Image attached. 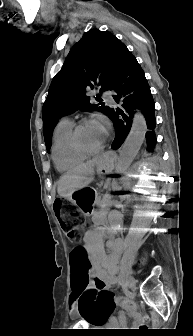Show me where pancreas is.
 I'll return each mask as SVG.
<instances>
[{
	"mask_svg": "<svg viewBox=\"0 0 193 336\" xmlns=\"http://www.w3.org/2000/svg\"><path fill=\"white\" fill-rule=\"evenodd\" d=\"M111 197L112 194L108 191L106 192V195H100L99 202L95 205V210L100 212L110 211L112 209Z\"/></svg>",
	"mask_w": 193,
	"mask_h": 336,
	"instance_id": "cf45deb5",
	"label": "pancreas"
}]
</instances>
